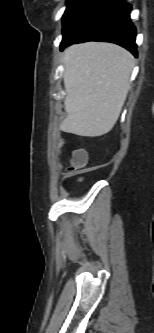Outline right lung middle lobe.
I'll return each instance as SVG.
<instances>
[{
    "instance_id": "obj_1",
    "label": "right lung middle lobe",
    "mask_w": 154,
    "mask_h": 333,
    "mask_svg": "<svg viewBox=\"0 0 154 333\" xmlns=\"http://www.w3.org/2000/svg\"><path fill=\"white\" fill-rule=\"evenodd\" d=\"M102 0H67L63 15V38L73 33L93 12Z\"/></svg>"
}]
</instances>
